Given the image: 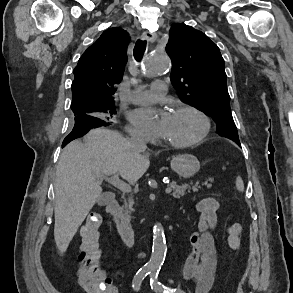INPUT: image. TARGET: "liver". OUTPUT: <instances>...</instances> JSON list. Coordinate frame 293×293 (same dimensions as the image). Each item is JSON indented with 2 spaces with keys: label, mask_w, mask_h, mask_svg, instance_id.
Instances as JSON below:
<instances>
[{
  "label": "liver",
  "mask_w": 293,
  "mask_h": 293,
  "mask_svg": "<svg viewBox=\"0 0 293 293\" xmlns=\"http://www.w3.org/2000/svg\"><path fill=\"white\" fill-rule=\"evenodd\" d=\"M150 165L145 149H135L119 133L92 129L81 140L70 142L62 151L55 180L56 246L64 253L79 226L102 193L99 175L119 174L136 182Z\"/></svg>",
  "instance_id": "liver-1"
}]
</instances>
